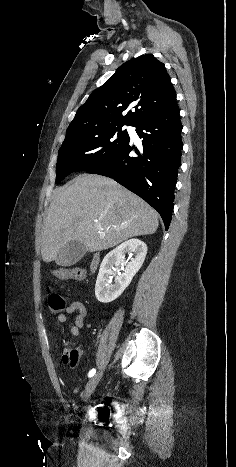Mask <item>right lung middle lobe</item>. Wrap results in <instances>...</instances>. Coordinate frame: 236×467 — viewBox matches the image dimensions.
<instances>
[{
    "label": "right lung middle lobe",
    "instance_id": "obj_1",
    "mask_svg": "<svg viewBox=\"0 0 236 467\" xmlns=\"http://www.w3.org/2000/svg\"><path fill=\"white\" fill-rule=\"evenodd\" d=\"M123 125L66 136L58 154L56 184L75 171H87L115 154L128 141Z\"/></svg>",
    "mask_w": 236,
    "mask_h": 467
}]
</instances>
